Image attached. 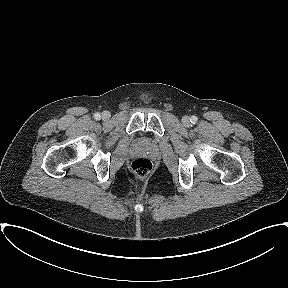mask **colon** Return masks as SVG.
I'll return each instance as SVG.
<instances>
[{
  "instance_id": "obj_1",
  "label": "colon",
  "mask_w": 288,
  "mask_h": 288,
  "mask_svg": "<svg viewBox=\"0 0 288 288\" xmlns=\"http://www.w3.org/2000/svg\"><path fill=\"white\" fill-rule=\"evenodd\" d=\"M152 168V162L146 158H138L131 163L132 171L141 178L147 176L152 171Z\"/></svg>"
}]
</instances>
